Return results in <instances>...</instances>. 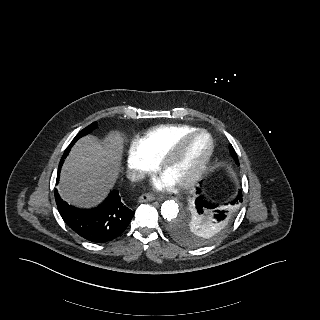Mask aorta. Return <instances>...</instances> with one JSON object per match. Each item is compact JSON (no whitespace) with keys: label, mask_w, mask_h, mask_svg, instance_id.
<instances>
[{"label":"aorta","mask_w":320,"mask_h":320,"mask_svg":"<svg viewBox=\"0 0 320 320\" xmlns=\"http://www.w3.org/2000/svg\"><path fill=\"white\" fill-rule=\"evenodd\" d=\"M179 212L178 204L173 200L165 201L161 206V215L165 220H173L177 217ZM190 212H187V217H189Z\"/></svg>","instance_id":"1"}]
</instances>
